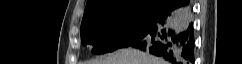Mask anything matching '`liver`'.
<instances>
[{"mask_svg": "<svg viewBox=\"0 0 242 64\" xmlns=\"http://www.w3.org/2000/svg\"><path fill=\"white\" fill-rule=\"evenodd\" d=\"M86 64H165V62L148 53L128 48L115 51L107 57L92 59Z\"/></svg>", "mask_w": 242, "mask_h": 64, "instance_id": "1", "label": "liver"}]
</instances>
